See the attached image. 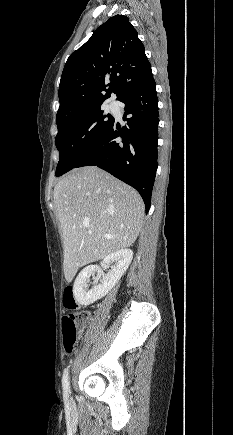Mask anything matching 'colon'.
<instances>
[{"instance_id":"5ec220e1","label":"colon","mask_w":233,"mask_h":435,"mask_svg":"<svg viewBox=\"0 0 233 435\" xmlns=\"http://www.w3.org/2000/svg\"><path fill=\"white\" fill-rule=\"evenodd\" d=\"M63 304L69 310H76L78 308L71 284H67L64 288ZM88 318L89 314L85 311L72 312L63 316V343L66 353L73 351L80 329L87 322Z\"/></svg>"}]
</instances>
